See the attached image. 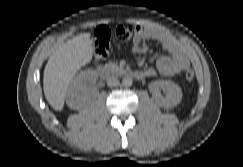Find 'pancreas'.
Returning <instances> with one entry per match:
<instances>
[{"label": "pancreas", "mask_w": 243, "mask_h": 167, "mask_svg": "<svg viewBox=\"0 0 243 167\" xmlns=\"http://www.w3.org/2000/svg\"><path fill=\"white\" fill-rule=\"evenodd\" d=\"M106 68H108L112 72L122 71L123 68L119 66L117 63L109 62L105 65Z\"/></svg>", "instance_id": "obj_1"}]
</instances>
